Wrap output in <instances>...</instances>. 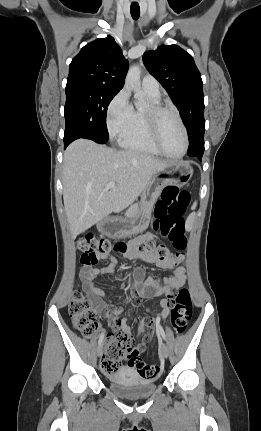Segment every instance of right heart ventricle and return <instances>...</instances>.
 <instances>
[{"label": "right heart ventricle", "instance_id": "obj_1", "mask_svg": "<svg viewBox=\"0 0 261 431\" xmlns=\"http://www.w3.org/2000/svg\"><path fill=\"white\" fill-rule=\"evenodd\" d=\"M153 103H159V96L146 92ZM119 144L124 149L160 156L161 153L153 144L144 118V111L134 110L127 129L119 136Z\"/></svg>", "mask_w": 261, "mask_h": 431}]
</instances>
